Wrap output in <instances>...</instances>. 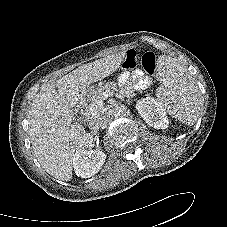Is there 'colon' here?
<instances>
[{
    "label": "colon",
    "mask_w": 227,
    "mask_h": 227,
    "mask_svg": "<svg viewBox=\"0 0 227 227\" xmlns=\"http://www.w3.org/2000/svg\"><path fill=\"white\" fill-rule=\"evenodd\" d=\"M140 64L150 75H154L157 70V58L153 52H146L141 56ZM138 65V57L135 51L127 52L123 61V69L132 70Z\"/></svg>",
    "instance_id": "1"
}]
</instances>
